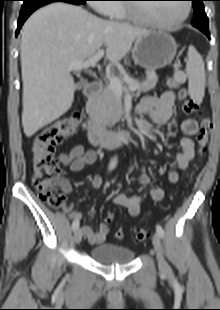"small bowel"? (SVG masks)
<instances>
[{
	"label": "small bowel",
	"instance_id": "c3829d8e",
	"mask_svg": "<svg viewBox=\"0 0 220 310\" xmlns=\"http://www.w3.org/2000/svg\"><path fill=\"white\" fill-rule=\"evenodd\" d=\"M175 100L176 95L173 91H165L160 97L143 98L139 102L137 110L140 114L147 116L155 125L164 127L172 117ZM181 129L185 136L180 140L181 151L175 157L177 170L170 171L168 174V180L172 184H176L180 180L179 171L186 170L195 156V144L192 137L198 132V122L195 119L187 118L182 122ZM58 159L61 164L76 172L86 165L94 164L97 161V153L94 150L86 149L83 145H75L68 152L61 153ZM90 181L95 188H100L103 183L99 175L92 176ZM138 181L142 186L148 188L149 195L154 201L163 199L164 190L162 188L148 187L149 177L143 167L139 170ZM65 189L67 192H71L69 186H65ZM142 199L141 195L127 196L123 193L115 194L112 198L114 204L125 208L131 216L139 215ZM66 210L68 209L66 208ZM68 215L74 221L82 218L81 212L70 211ZM81 231L90 244H101L105 241L109 228L107 224L101 223L97 231L88 225H83Z\"/></svg>",
	"mask_w": 220,
	"mask_h": 310
}]
</instances>
